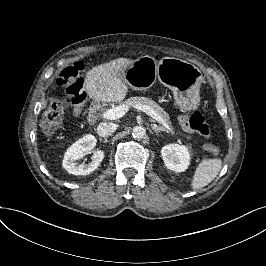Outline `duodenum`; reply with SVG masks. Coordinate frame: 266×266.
Masks as SVG:
<instances>
[{
  "mask_svg": "<svg viewBox=\"0 0 266 266\" xmlns=\"http://www.w3.org/2000/svg\"><path fill=\"white\" fill-rule=\"evenodd\" d=\"M98 117V110L96 107L92 108L90 111V119L94 121Z\"/></svg>",
  "mask_w": 266,
  "mask_h": 266,
  "instance_id": "duodenum-1",
  "label": "duodenum"
}]
</instances>
